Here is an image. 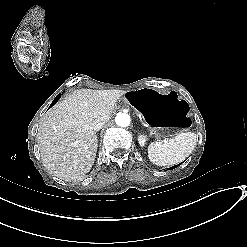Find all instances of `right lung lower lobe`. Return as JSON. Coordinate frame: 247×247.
Returning <instances> with one entry per match:
<instances>
[{
	"label": "right lung lower lobe",
	"mask_w": 247,
	"mask_h": 247,
	"mask_svg": "<svg viewBox=\"0 0 247 247\" xmlns=\"http://www.w3.org/2000/svg\"><path fill=\"white\" fill-rule=\"evenodd\" d=\"M60 96H61V94H59V95H57V96L55 97V99H54L53 102L51 103L50 107H52V106L58 101V99L60 98ZM50 107H49V108H50Z\"/></svg>",
	"instance_id": "obj_1"
}]
</instances>
